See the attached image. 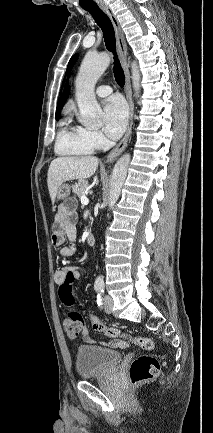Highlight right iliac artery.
<instances>
[{
    "label": "right iliac artery",
    "instance_id": "1",
    "mask_svg": "<svg viewBox=\"0 0 213 433\" xmlns=\"http://www.w3.org/2000/svg\"><path fill=\"white\" fill-rule=\"evenodd\" d=\"M100 290H101V288H100V287H97V288H96V291H100Z\"/></svg>",
    "mask_w": 213,
    "mask_h": 433
}]
</instances>
